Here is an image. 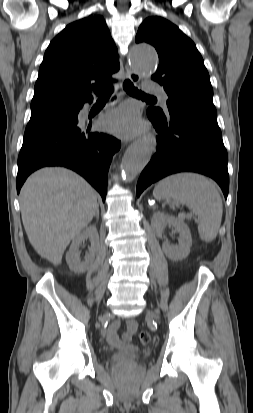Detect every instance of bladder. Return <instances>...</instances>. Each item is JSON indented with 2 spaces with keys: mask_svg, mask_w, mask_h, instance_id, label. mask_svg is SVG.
<instances>
[{
  "mask_svg": "<svg viewBox=\"0 0 253 413\" xmlns=\"http://www.w3.org/2000/svg\"><path fill=\"white\" fill-rule=\"evenodd\" d=\"M140 359V353L134 348H129L122 352H116L110 356L112 364L117 366L132 365L137 363Z\"/></svg>",
  "mask_w": 253,
  "mask_h": 413,
  "instance_id": "31cf9c89",
  "label": "bladder"
}]
</instances>
